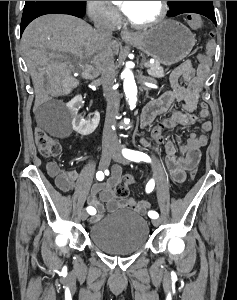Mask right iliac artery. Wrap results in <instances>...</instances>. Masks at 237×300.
I'll return each mask as SVG.
<instances>
[{"label":"right iliac artery","mask_w":237,"mask_h":300,"mask_svg":"<svg viewBox=\"0 0 237 300\" xmlns=\"http://www.w3.org/2000/svg\"><path fill=\"white\" fill-rule=\"evenodd\" d=\"M96 178H97V180L102 181L104 179V173L102 171H98L96 173ZM87 212L89 214L93 215L96 213V209L94 207L89 206V207H87Z\"/></svg>","instance_id":"1"}]
</instances>
